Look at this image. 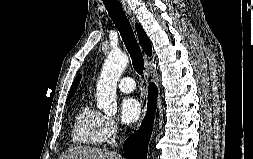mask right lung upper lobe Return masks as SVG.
Here are the masks:
<instances>
[{"mask_svg":"<svg viewBox=\"0 0 253 159\" xmlns=\"http://www.w3.org/2000/svg\"><path fill=\"white\" fill-rule=\"evenodd\" d=\"M135 27H136V31H137V34H138V38H139V42L143 48V51L151 56L152 54V47H151V43H150V40L149 38L147 37L146 33L144 32V30L142 29V27L139 25V24H135ZM81 79V75H78L72 86H71V89H70V92H69V96L67 97V99H70L73 94L76 92V89H77V86L79 84V81Z\"/></svg>","mask_w":253,"mask_h":159,"instance_id":"obj_1","label":"right lung upper lobe"}]
</instances>
